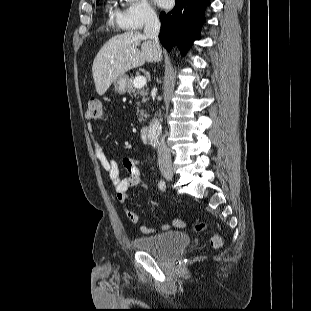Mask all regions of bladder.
<instances>
[{"label":"bladder","mask_w":311,"mask_h":311,"mask_svg":"<svg viewBox=\"0 0 311 311\" xmlns=\"http://www.w3.org/2000/svg\"><path fill=\"white\" fill-rule=\"evenodd\" d=\"M132 243L138 251L152 253L166 260L186 248L189 237L181 231H168L149 236H136Z\"/></svg>","instance_id":"obj_1"}]
</instances>
